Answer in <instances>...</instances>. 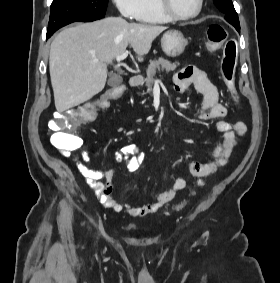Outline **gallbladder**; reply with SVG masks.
<instances>
[{
	"instance_id": "bac80fb5",
	"label": "gallbladder",
	"mask_w": 280,
	"mask_h": 283,
	"mask_svg": "<svg viewBox=\"0 0 280 283\" xmlns=\"http://www.w3.org/2000/svg\"><path fill=\"white\" fill-rule=\"evenodd\" d=\"M121 82H122V78L119 75L113 72L109 74L108 85L110 87H117L121 84Z\"/></svg>"
}]
</instances>
